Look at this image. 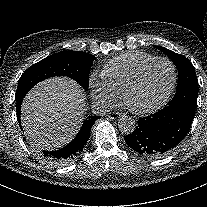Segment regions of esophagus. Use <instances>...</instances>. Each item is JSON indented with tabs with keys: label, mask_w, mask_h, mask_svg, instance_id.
I'll list each match as a JSON object with an SVG mask.
<instances>
[{
	"label": "esophagus",
	"mask_w": 207,
	"mask_h": 207,
	"mask_svg": "<svg viewBox=\"0 0 207 207\" xmlns=\"http://www.w3.org/2000/svg\"><path fill=\"white\" fill-rule=\"evenodd\" d=\"M108 117L112 120H117L121 117V113L119 112H111L108 114Z\"/></svg>",
	"instance_id": "1"
}]
</instances>
